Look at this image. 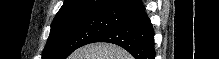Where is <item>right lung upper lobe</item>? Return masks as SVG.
Wrapping results in <instances>:
<instances>
[{"mask_svg":"<svg viewBox=\"0 0 219 59\" xmlns=\"http://www.w3.org/2000/svg\"><path fill=\"white\" fill-rule=\"evenodd\" d=\"M123 1L125 0H65L55 18L90 10H112Z\"/></svg>","mask_w":219,"mask_h":59,"instance_id":"1","label":"right lung upper lobe"}]
</instances>
